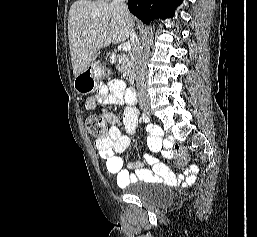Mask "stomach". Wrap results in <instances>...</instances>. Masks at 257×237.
Masks as SVG:
<instances>
[{"label":"stomach","instance_id":"obj_1","mask_svg":"<svg viewBox=\"0 0 257 237\" xmlns=\"http://www.w3.org/2000/svg\"><path fill=\"white\" fill-rule=\"evenodd\" d=\"M104 73V68L99 63H91L82 73L75 77L73 82L75 91L82 95L93 92Z\"/></svg>","mask_w":257,"mask_h":237}]
</instances>
